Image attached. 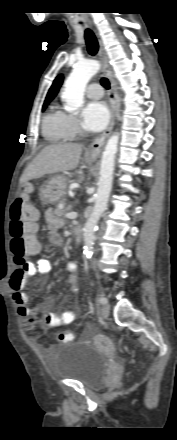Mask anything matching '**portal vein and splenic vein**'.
Listing matches in <instances>:
<instances>
[{
  "label": "portal vein and splenic vein",
  "instance_id": "18ae733b",
  "mask_svg": "<svg viewBox=\"0 0 177 440\" xmlns=\"http://www.w3.org/2000/svg\"><path fill=\"white\" fill-rule=\"evenodd\" d=\"M65 216L69 219H75V218H77L78 214L76 212L72 211V212L66 213Z\"/></svg>",
  "mask_w": 177,
  "mask_h": 440
}]
</instances>
